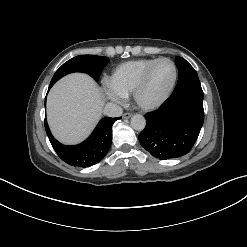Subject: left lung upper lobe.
<instances>
[{
	"mask_svg": "<svg viewBox=\"0 0 247 247\" xmlns=\"http://www.w3.org/2000/svg\"><path fill=\"white\" fill-rule=\"evenodd\" d=\"M175 63L179 71L178 83L176 85V88L184 85L200 84L197 72L189 64L188 61H186L182 57L177 56L175 59Z\"/></svg>",
	"mask_w": 247,
	"mask_h": 247,
	"instance_id": "obj_1",
	"label": "left lung upper lobe"
}]
</instances>
